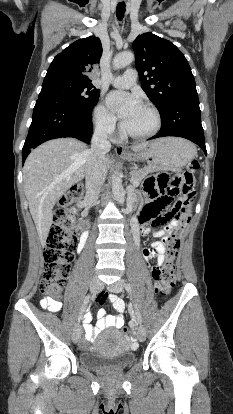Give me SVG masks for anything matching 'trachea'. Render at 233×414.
I'll return each instance as SVG.
<instances>
[{
	"instance_id": "3493384b",
	"label": "trachea",
	"mask_w": 233,
	"mask_h": 414,
	"mask_svg": "<svg viewBox=\"0 0 233 414\" xmlns=\"http://www.w3.org/2000/svg\"><path fill=\"white\" fill-rule=\"evenodd\" d=\"M124 14H125V3L123 1L117 4L116 16L119 20H122L124 18Z\"/></svg>"
}]
</instances>
